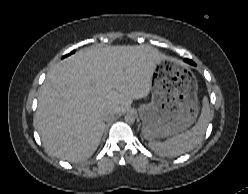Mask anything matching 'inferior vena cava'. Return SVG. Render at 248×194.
<instances>
[{"instance_id": "602c4592", "label": "inferior vena cava", "mask_w": 248, "mask_h": 194, "mask_svg": "<svg viewBox=\"0 0 248 194\" xmlns=\"http://www.w3.org/2000/svg\"><path fill=\"white\" fill-rule=\"evenodd\" d=\"M114 114H115L114 112H109L108 114H106L105 121L112 119Z\"/></svg>"}]
</instances>
